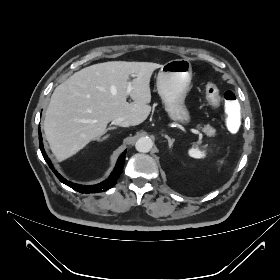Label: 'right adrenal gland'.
Instances as JSON below:
<instances>
[{"mask_svg": "<svg viewBox=\"0 0 280 280\" xmlns=\"http://www.w3.org/2000/svg\"><path fill=\"white\" fill-rule=\"evenodd\" d=\"M117 127H108L106 130H105V132L104 133H106L107 131H109V130H114V129H116ZM109 137V135H106V136H104L101 140H105V139H107Z\"/></svg>", "mask_w": 280, "mask_h": 280, "instance_id": "2a0ac1e0", "label": "right adrenal gland"}]
</instances>
